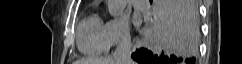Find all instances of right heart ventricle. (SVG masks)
<instances>
[{
  "label": "right heart ventricle",
  "instance_id": "1",
  "mask_svg": "<svg viewBox=\"0 0 242 64\" xmlns=\"http://www.w3.org/2000/svg\"><path fill=\"white\" fill-rule=\"evenodd\" d=\"M105 25L97 13H91L81 21L77 29V46L82 54L98 56L109 50Z\"/></svg>",
  "mask_w": 242,
  "mask_h": 64
}]
</instances>
